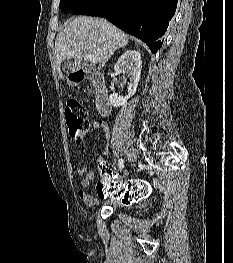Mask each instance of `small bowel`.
Masks as SVG:
<instances>
[{"instance_id":"1","label":"small bowel","mask_w":233,"mask_h":263,"mask_svg":"<svg viewBox=\"0 0 233 263\" xmlns=\"http://www.w3.org/2000/svg\"><path fill=\"white\" fill-rule=\"evenodd\" d=\"M92 128L94 130H99L101 129L104 132L105 138H106V143L102 149V154L106 155L109 152V146H108V140L110 137V132H109V127L106 124V122L103 121H93L92 122ZM97 164H98V168L99 171H107L109 169V171H113V168L111 167L110 164L106 163L103 157H98L97 158ZM77 173L78 175L81 177V186L83 188H87L89 187V185L91 184V182L95 179V173L93 171H90L88 167L83 166V167H79L77 169ZM115 175V174H114ZM126 186V184L124 185ZM119 190H122L119 189ZM78 196L81 199V201L83 203H85L87 206L89 207H94L97 206L99 203L98 198H105L108 195H97L98 198L88 194L87 192H85L84 190H79L78 191ZM116 200V199H114ZM133 201H135V199H132Z\"/></svg>"}]
</instances>
